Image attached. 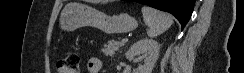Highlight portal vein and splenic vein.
<instances>
[{
    "label": "portal vein and splenic vein",
    "instance_id": "18ae733b",
    "mask_svg": "<svg viewBox=\"0 0 244 73\" xmlns=\"http://www.w3.org/2000/svg\"><path fill=\"white\" fill-rule=\"evenodd\" d=\"M127 41H128L127 38H123V39L121 40L122 43H126Z\"/></svg>",
    "mask_w": 244,
    "mask_h": 73
}]
</instances>
